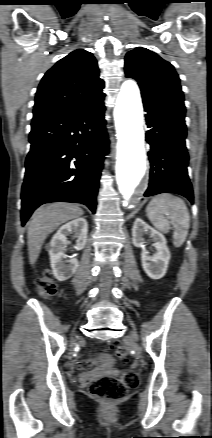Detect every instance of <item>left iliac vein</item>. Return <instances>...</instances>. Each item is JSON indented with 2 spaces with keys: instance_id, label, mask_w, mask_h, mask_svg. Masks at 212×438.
<instances>
[{
  "instance_id": "left-iliac-vein-1",
  "label": "left iliac vein",
  "mask_w": 212,
  "mask_h": 438,
  "mask_svg": "<svg viewBox=\"0 0 212 438\" xmlns=\"http://www.w3.org/2000/svg\"><path fill=\"white\" fill-rule=\"evenodd\" d=\"M135 337V333L134 332H131V334H130V336H129V339H133Z\"/></svg>"
}]
</instances>
